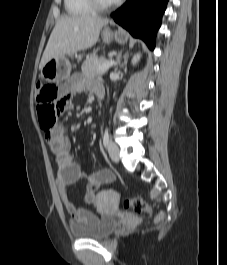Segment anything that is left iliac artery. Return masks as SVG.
<instances>
[{
    "label": "left iliac artery",
    "mask_w": 227,
    "mask_h": 265,
    "mask_svg": "<svg viewBox=\"0 0 227 265\" xmlns=\"http://www.w3.org/2000/svg\"><path fill=\"white\" fill-rule=\"evenodd\" d=\"M103 143H104L105 147L109 143V131H108V128L105 129L104 136H103Z\"/></svg>",
    "instance_id": "44dca946"
}]
</instances>
